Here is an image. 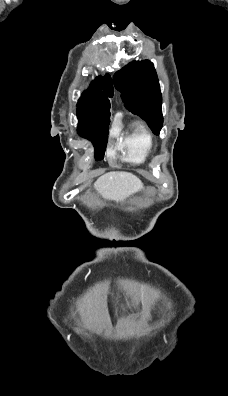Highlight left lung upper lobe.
Wrapping results in <instances>:
<instances>
[{
	"label": "left lung upper lobe",
	"mask_w": 228,
	"mask_h": 396,
	"mask_svg": "<svg viewBox=\"0 0 228 396\" xmlns=\"http://www.w3.org/2000/svg\"><path fill=\"white\" fill-rule=\"evenodd\" d=\"M113 81L126 108L143 118L153 133L159 135L163 125L162 95L153 63L133 61L116 72Z\"/></svg>",
	"instance_id": "obj_1"
}]
</instances>
